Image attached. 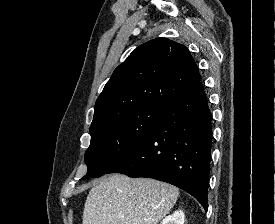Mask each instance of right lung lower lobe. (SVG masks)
Listing matches in <instances>:
<instances>
[{
  "instance_id": "obj_1",
  "label": "right lung lower lobe",
  "mask_w": 275,
  "mask_h": 224,
  "mask_svg": "<svg viewBox=\"0 0 275 224\" xmlns=\"http://www.w3.org/2000/svg\"><path fill=\"white\" fill-rule=\"evenodd\" d=\"M211 143L212 115L200 81L166 109L150 134L108 173L170 183L207 210Z\"/></svg>"
}]
</instances>
